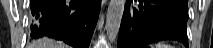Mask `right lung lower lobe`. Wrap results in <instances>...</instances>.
<instances>
[{
    "label": "right lung lower lobe",
    "instance_id": "right-lung-lower-lobe-1",
    "mask_svg": "<svg viewBox=\"0 0 213 48\" xmlns=\"http://www.w3.org/2000/svg\"><path fill=\"white\" fill-rule=\"evenodd\" d=\"M31 38L48 36L89 48L101 0H31Z\"/></svg>",
    "mask_w": 213,
    "mask_h": 48
}]
</instances>
